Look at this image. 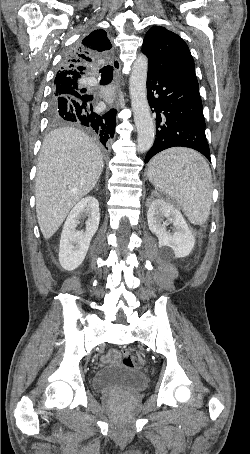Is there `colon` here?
<instances>
[{
	"mask_svg": "<svg viewBox=\"0 0 250 454\" xmlns=\"http://www.w3.org/2000/svg\"><path fill=\"white\" fill-rule=\"evenodd\" d=\"M122 363L127 367L140 369L143 366L144 359L137 350L127 348L122 352Z\"/></svg>",
	"mask_w": 250,
	"mask_h": 454,
	"instance_id": "obj_1",
	"label": "colon"
}]
</instances>
